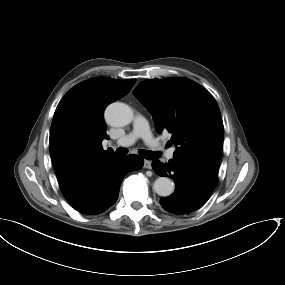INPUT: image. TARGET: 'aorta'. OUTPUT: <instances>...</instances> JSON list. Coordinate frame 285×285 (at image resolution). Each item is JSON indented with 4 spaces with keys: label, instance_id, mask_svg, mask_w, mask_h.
<instances>
[{
    "label": "aorta",
    "instance_id": "1",
    "mask_svg": "<svg viewBox=\"0 0 285 285\" xmlns=\"http://www.w3.org/2000/svg\"><path fill=\"white\" fill-rule=\"evenodd\" d=\"M105 119L111 126L123 127L131 123L133 111L128 105L115 102L107 107ZM153 189L159 196L167 197L174 192L175 186L169 178L159 177L155 180Z\"/></svg>",
    "mask_w": 285,
    "mask_h": 285
}]
</instances>
